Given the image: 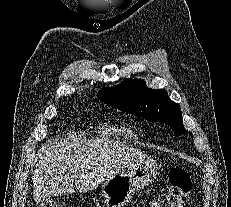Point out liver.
Instances as JSON below:
<instances>
[{"label": "liver", "instance_id": "1", "mask_svg": "<svg viewBox=\"0 0 231 207\" xmlns=\"http://www.w3.org/2000/svg\"><path fill=\"white\" fill-rule=\"evenodd\" d=\"M33 171L36 203L55 196L84 193L116 174L120 166L139 161L143 154L121 143L77 134L57 136L41 148Z\"/></svg>", "mask_w": 231, "mask_h": 207}]
</instances>
